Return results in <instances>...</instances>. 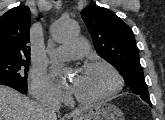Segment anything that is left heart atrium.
<instances>
[{"label": "left heart atrium", "instance_id": "39dd6f15", "mask_svg": "<svg viewBox=\"0 0 165 120\" xmlns=\"http://www.w3.org/2000/svg\"><path fill=\"white\" fill-rule=\"evenodd\" d=\"M74 81H75V79H73V81H72V85H71L72 90L74 89Z\"/></svg>", "mask_w": 165, "mask_h": 120}]
</instances>
